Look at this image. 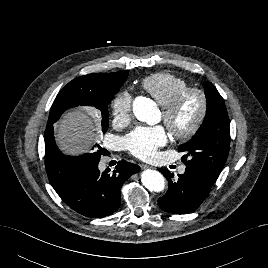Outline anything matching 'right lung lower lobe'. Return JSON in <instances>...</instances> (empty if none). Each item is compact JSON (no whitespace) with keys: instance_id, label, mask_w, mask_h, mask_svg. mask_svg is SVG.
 I'll return each instance as SVG.
<instances>
[{"instance_id":"98d812e1","label":"right lung lower lobe","mask_w":268,"mask_h":268,"mask_svg":"<svg viewBox=\"0 0 268 268\" xmlns=\"http://www.w3.org/2000/svg\"><path fill=\"white\" fill-rule=\"evenodd\" d=\"M99 161L100 157L94 158L59 195L70 208L91 218L105 217L117 211L123 183L140 170L138 165L121 160L112 173H109L110 169L100 172Z\"/></svg>"}]
</instances>
